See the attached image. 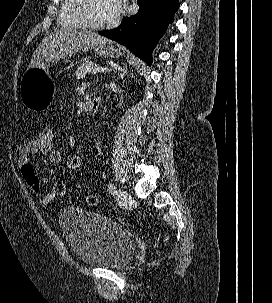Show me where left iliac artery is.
I'll use <instances>...</instances> for the list:
<instances>
[{"mask_svg":"<svg viewBox=\"0 0 272 303\" xmlns=\"http://www.w3.org/2000/svg\"><path fill=\"white\" fill-rule=\"evenodd\" d=\"M115 186H114V184L113 183H111V182H109V184H108V190H109V192L111 193V194H114L115 193Z\"/></svg>","mask_w":272,"mask_h":303,"instance_id":"1","label":"left iliac artery"}]
</instances>
